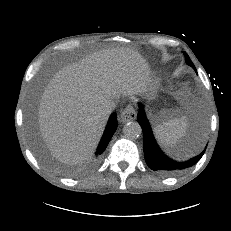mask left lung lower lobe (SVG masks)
<instances>
[{
  "label": "left lung lower lobe",
  "instance_id": "1",
  "mask_svg": "<svg viewBox=\"0 0 231 231\" xmlns=\"http://www.w3.org/2000/svg\"><path fill=\"white\" fill-rule=\"evenodd\" d=\"M138 122L143 130V151L147 165L163 175H175L195 165L203 156L205 150L187 161H178L166 156L158 147L143 106L139 104Z\"/></svg>",
  "mask_w": 231,
  "mask_h": 231
}]
</instances>
